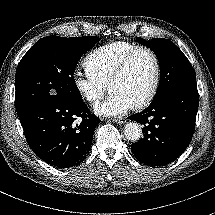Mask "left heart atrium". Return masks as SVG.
Returning <instances> with one entry per match:
<instances>
[{
  "mask_svg": "<svg viewBox=\"0 0 215 215\" xmlns=\"http://www.w3.org/2000/svg\"><path fill=\"white\" fill-rule=\"evenodd\" d=\"M131 101L119 92L111 93L106 102L96 106L98 114L105 116H121L132 108Z\"/></svg>",
  "mask_w": 215,
  "mask_h": 215,
  "instance_id": "1",
  "label": "left heart atrium"
}]
</instances>
